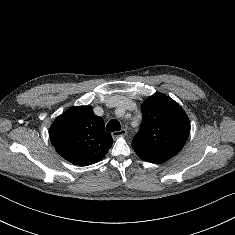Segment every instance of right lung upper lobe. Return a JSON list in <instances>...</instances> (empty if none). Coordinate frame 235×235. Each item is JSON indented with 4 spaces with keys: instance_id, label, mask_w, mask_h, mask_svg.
Masks as SVG:
<instances>
[{
    "instance_id": "cb5924a9",
    "label": "right lung upper lobe",
    "mask_w": 235,
    "mask_h": 235,
    "mask_svg": "<svg viewBox=\"0 0 235 235\" xmlns=\"http://www.w3.org/2000/svg\"><path fill=\"white\" fill-rule=\"evenodd\" d=\"M49 135L56 151L79 166L99 162L113 143L103 119L91 106H77L62 113L51 125Z\"/></svg>"
}]
</instances>
